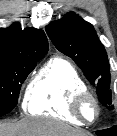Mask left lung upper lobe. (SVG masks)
I'll use <instances>...</instances> for the list:
<instances>
[{
    "mask_svg": "<svg viewBox=\"0 0 117 136\" xmlns=\"http://www.w3.org/2000/svg\"><path fill=\"white\" fill-rule=\"evenodd\" d=\"M46 32L55 47L71 57L89 82L97 85L100 102L111 105L108 57L93 26L74 13H68L61 20L50 23ZM109 109H113V105Z\"/></svg>",
    "mask_w": 117,
    "mask_h": 136,
    "instance_id": "1",
    "label": "left lung upper lobe"
}]
</instances>
